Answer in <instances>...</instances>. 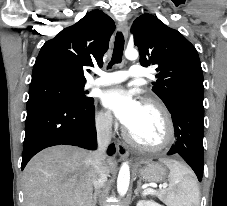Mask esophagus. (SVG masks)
I'll return each instance as SVG.
<instances>
[{
    "instance_id": "esophagus-1",
    "label": "esophagus",
    "mask_w": 227,
    "mask_h": 206,
    "mask_svg": "<svg viewBox=\"0 0 227 206\" xmlns=\"http://www.w3.org/2000/svg\"><path fill=\"white\" fill-rule=\"evenodd\" d=\"M119 29L123 33L124 37L127 38L129 33L128 22L127 21L120 22ZM117 151L121 158H126L128 156V150L124 143H122L121 141L117 142Z\"/></svg>"
}]
</instances>
